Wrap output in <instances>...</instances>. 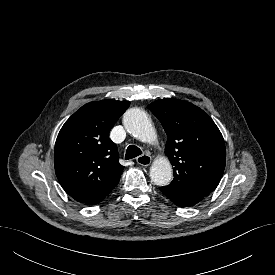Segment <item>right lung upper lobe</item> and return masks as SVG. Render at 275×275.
<instances>
[{"instance_id":"cb5924a9","label":"right lung upper lobe","mask_w":275,"mask_h":275,"mask_svg":"<svg viewBox=\"0 0 275 275\" xmlns=\"http://www.w3.org/2000/svg\"><path fill=\"white\" fill-rule=\"evenodd\" d=\"M129 104L112 99L87 103L61 128L55 143V172L76 201L103 199L118 184L124 166L109 132Z\"/></svg>"}]
</instances>
